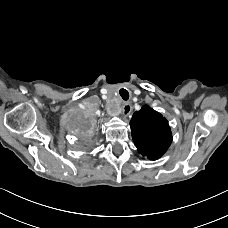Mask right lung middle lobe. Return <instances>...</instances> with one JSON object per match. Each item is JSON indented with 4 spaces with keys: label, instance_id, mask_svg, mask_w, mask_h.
I'll list each match as a JSON object with an SVG mask.
<instances>
[{
    "label": "right lung middle lobe",
    "instance_id": "1",
    "mask_svg": "<svg viewBox=\"0 0 228 228\" xmlns=\"http://www.w3.org/2000/svg\"><path fill=\"white\" fill-rule=\"evenodd\" d=\"M73 131L77 136L84 138L90 134L91 129L87 124H84L83 122H81V120H78L75 123V128Z\"/></svg>",
    "mask_w": 228,
    "mask_h": 228
}]
</instances>
